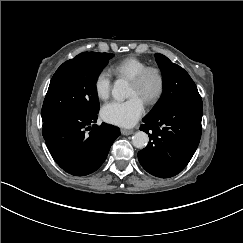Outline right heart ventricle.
<instances>
[{
	"mask_svg": "<svg viewBox=\"0 0 243 243\" xmlns=\"http://www.w3.org/2000/svg\"><path fill=\"white\" fill-rule=\"evenodd\" d=\"M147 63L137 57L125 58L111 66V71L119 77H126L129 80L138 74Z\"/></svg>",
	"mask_w": 243,
	"mask_h": 243,
	"instance_id": "obj_1",
	"label": "right heart ventricle"
}]
</instances>
